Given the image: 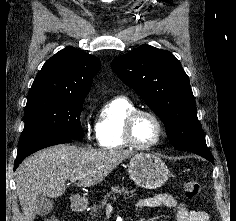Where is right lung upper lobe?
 Here are the masks:
<instances>
[{"label": "right lung upper lobe", "mask_w": 236, "mask_h": 221, "mask_svg": "<svg viewBox=\"0 0 236 221\" xmlns=\"http://www.w3.org/2000/svg\"><path fill=\"white\" fill-rule=\"evenodd\" d=\"M99 69L98 58L68 46L46 61L28 96L86 97Z\"/></svg>", "instance_id": "cb5924a9"}]
</instances>
